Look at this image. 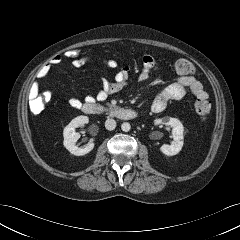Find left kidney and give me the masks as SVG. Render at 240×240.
Returning a JSON list of instances; mask_svg holds the SVG:
<instances>
[{
  "label": "left kidney",
  "instance_id": "5707ae66",
  "mask_svg": "<svg viewBox=\"0 0 240 240\" xmlns=\"http://www.w3.org/2000/svg\"><path fill=\"white\" fill-rule=\"evenodd\" d=\"M160 123L173 127L172 134L174 139L171 145H168V144L162 145L160 147V151L167 156H174L178 154L183 147L184 127L178 119L172 118V117H163L161 119L155 120V124H160Z\"/></svg>",
  "mask_w": 240,
  "mask_h": 240
}]
</instances>
